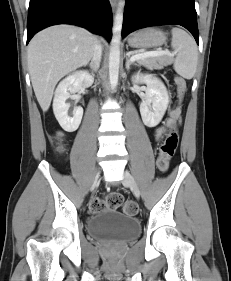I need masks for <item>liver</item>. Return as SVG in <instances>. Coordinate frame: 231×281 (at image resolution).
I'll list each match as a JSON object with an SVG mask.
<instances>
[{"instance_id":"obj_1","label":"liver","mask_w":231,"mask_h":281,"mask_svg":"<svg viewBox=\"0 0 231 281\" xmlns=\"http://www.w3.org/2000/svg\"><path fill=\"white\" fill-rule=\"evenodd\" d=\"M96 42L92 33L72 25L52 26L32 38L28 46V69L44 112L50 107L58 81L89 63Z\"/></svg>"}]
</instances>
